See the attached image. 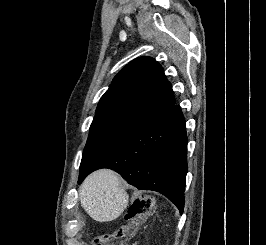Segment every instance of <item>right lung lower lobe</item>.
<instances>
[{"label": "right lung lower lobe", "mask_w": 266, "mask_h": 245, "mask_svg": "<svg viewBox=\"0 0 266 245\" xmlns=\"http://www.w3.org/2000/svg\"><path fill=\"white\" fill-rule=\"evenodd\" d=\"M187 135L180 106L173 105L142 120L132 131L79 174L110 168L139 190L165 195L182 213L187 174Z\"/></svg>", "instance_id": "obj_1"}]
</instances>
